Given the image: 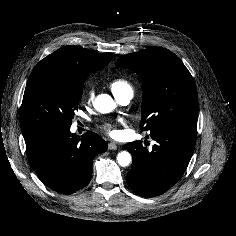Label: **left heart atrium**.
I'll list each match as a JSON object with an SVG mask.
<instances>
[{
	"instance_id": "1",
	"label": "left heart atrium",
	"mask_w": 236,
	"mask_h": 236,
	"mask_svg": "<svg viewBox=\"0 0 236 236\" xmlns=\"http://www.w3.org/2000/svg\"><path fill=\"white\" fill-rule=\"evenodd\" d=\"M103 129L110 135L115 136L118 134V131L115 129V127L111 123H104Z\"/></svg>"
}]
</instances>
